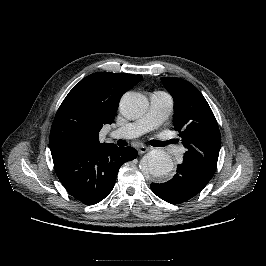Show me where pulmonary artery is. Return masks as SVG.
Segmentation results:
<instances>
[{
    "instance_id": "e3ab8cb5",
    "label": "pulmonary artery",
    "mask_w": 266,
    "mask_h": 266,
    "mask_svg": "<svg viewBox=\"0 0 266 266\" xmlns=\"http://www.w3.org/2000/svg\"><path fill=\"white\" fill-rule=\"evenodd\" d=\"M173 99L165 91H155L150 95L148 111L137 121L128 123L110 132V137L132 139L158 127L171 114Z\"/></svg>"
}]
</instances>
